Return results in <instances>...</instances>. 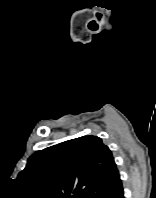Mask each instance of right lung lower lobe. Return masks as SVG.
Listing matches in <instances>:
<instances>
[{
    "mask_svg": "<svg viewBox=\"0 0 156 198\" xmlns=\"http://www.w3.org/2000/svg\"><path fill=\"white\" fill-rule=\"evenodd\" d=\"M110 198H124V196H123V187L118 189Z\"/></svg>",
    "mask_w": 156,
    "mask_h": 198,
    "instance_id": "right-lung-lower-lobe-1",
    "label": "right lung lower lobe"
}]
</instances>
